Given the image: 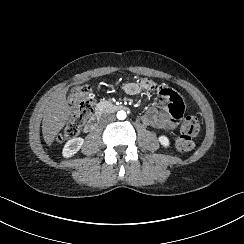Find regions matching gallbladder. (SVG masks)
Returning a JSON list of instances; mask_svg holds the SVG:
<instances>
[{
	"label": "gallbladder",
	"instance_id": "bac80fb5",
	"mask_svg": "<svg viewBox=\"0 0 244 244\" xmlns=\"http://www.w3.org/2000/svg\"><path fill=\"white\" fill-rule=\"evenodd\" d=\"M70 96L74 97V102H77L81 99H86L88 97V94L80 90L79 87H72L70 90Z\"/></svg>",
	"mask_w": 244,
	"mask_h": 244
}]
</instances>
